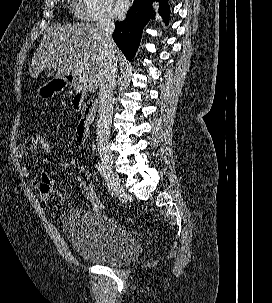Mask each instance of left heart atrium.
<instances>
[{
  "instance_id": "obj_1",
  "label": "left heart atrium",
  "mask_w": 272,
  "mask_h": 303,
  "mask_svg": "<svg viewBox=\"0 0 272 303\" xmlns=\"http://www.w3.org/2000/svg\"><path fill=\"white\" fill-rule=\"evenodd\" d=\"M112 7L114 14L122 17L127 12L129 3L127 0H114Z\"/></svg>"
}]
</instances>
